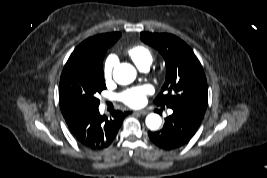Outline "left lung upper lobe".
<instances>
[{"instance_id": "left-lung-upper-lobe-1", "label": "left lung upper lobe", "mask_w": 267, "mask_h": 178, "mask_svg": "<svg viewBox=\"0 0 267 178\" xmlns=\"http://www.w3.org/2000/svg\"><path fill=\"white\" fill-rule=\"evenodd\" d=\"M141 40L157 49L166 63V81L155 104L180 108L202 120L207 109L208 87L202 65L192 49L167 33L141 32Z\"/></svg>"}]
</instances>
